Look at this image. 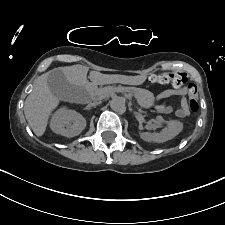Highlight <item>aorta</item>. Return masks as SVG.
<instances>
[{"instance_id":"1","label":"aorta","mask_w":225,"mask_h":225,"mask_svg":"<svg viewBox=\"0 0 225 225\" xmlns=\"http://www.w3.org/2000/svg\"><path fill=\"white\" fill-rule=\"evenodd\" d=\"M110 107L114 112L124 113L126 111L125 99L120 96L113 97L110 101Z\"/></svg>"}]
</instances>
